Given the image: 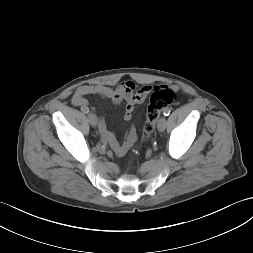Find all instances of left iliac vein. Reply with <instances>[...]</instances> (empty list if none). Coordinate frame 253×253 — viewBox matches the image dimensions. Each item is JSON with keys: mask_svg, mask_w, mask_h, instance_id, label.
Listing matches in <instances>:
<instances>
[{"mask_svg": "<svg viewBox=\"0 0 253 253\" xmlns=\"http://www.w3.org/2000/svg\"><path fill=\"white\" fill-rule=\"evenodd\" d=\"M157 128L160 132H163L166 128V118L161 117L157 123Z\"/></svg>", "mask_w": 253, "mask_h": 253, "instance_id": "4c4485c4", "label": "left iliac vein"}]
</instances>
